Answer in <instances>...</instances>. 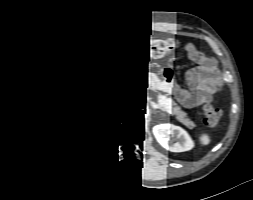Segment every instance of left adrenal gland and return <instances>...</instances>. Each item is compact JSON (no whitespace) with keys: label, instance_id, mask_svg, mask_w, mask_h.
I'll return each mask as SVG.
<instances>
[{"label":"left adrenal gland","instance_id":"a2214340","mask_svg":"<svg viewBox=\"0 0 253 200\" xmlns=\"http://www.w3.org/2000/svg\"><path fill=\"white\" fill-rule=\"evenodd\" d=\"M153 107H154L155 110L159 109V107H158V105L156 103H153Z\"/></svg>","mask_w":253,"mask_h":200}]
</instances>
